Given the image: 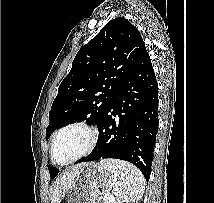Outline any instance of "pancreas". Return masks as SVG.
Masks as SVG:
<instances>
[{
  "label": "pancreas",
  "instance_id": "1",
  "mask_svg": "<svg viewBox=\"0 0 214 203\" xmlns=\"http://www.w3.org/2000/svg\"><path fill=\"white\" fill-rule=\"evenodd\" d=\"M105 203H115L114 200H106Z\"/></svg>",
  "mask_w": 214,
  "mask_h": 203
}]
</instances>
